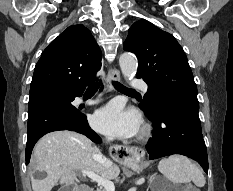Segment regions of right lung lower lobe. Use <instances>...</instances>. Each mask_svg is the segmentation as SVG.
Segmentation results:
<instances>
[{
	"label": "right lung lower lobe",
	"mask_w": 233,
	"mask_h": 191,
	"mask_svg": "<svg viewBox=\"0 0 233 191\" xmlns=\"http://www.w3.org/2000/svg\"><path fill=\"white\" fill-rule=\"evenodd\" d=\"M40 93L30 95V98ZM81 95L80 92L71 94L73 98ZM58 130L75 131L86 135L96 143L101 142L100 137L89 127L86 115L79 110L73 111L52 103L40 102L31 108L28 113L26 164L30 161L35 143L43 135Z\"/></svg>",
	"instance_id": "98d812e1"
}]
</instances>
